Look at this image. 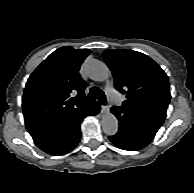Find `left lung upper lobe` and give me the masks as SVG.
Masks as SVG:
<instances>
[{
	"label": "left lung upper lobe",
	"mask_w": 194,
	"mask_h": 193,
	"mask_svg": "<svg viewBox=\"0 0 194 193\" xmlns=\"http://www.w3.org/2000/svg\"><path fill=\"white\" fill-rule=\"evenodd\" d=\"M103 57L116 89L126 94L121 108L162 124L171 95L168 77L160 66L147 55L129 49H108Z\"/></svg>",
	"instance_id": "1"
}]
</instances>
